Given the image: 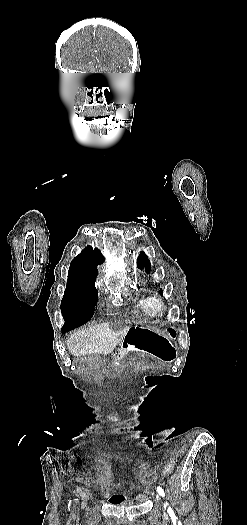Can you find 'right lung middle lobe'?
<instances>
[{
	"label": "right lung middle lobe",
	"mask_w": 247,
	"mask_h": 525,
	"mask_svg": "<svg viewBox=\"0 0 247 525\" xmlns=\"http://www.w3.org/2000/svg\"><path fill=\"white\" fill-rule=\"evenodd\" d=\"M95 281L96 275L69 273L61 301L64 328L74 329L92 318L98 294Z\"/></svg>",
	"instance_id": "right-lung-middle-lobe-1"
}]
</instances>
